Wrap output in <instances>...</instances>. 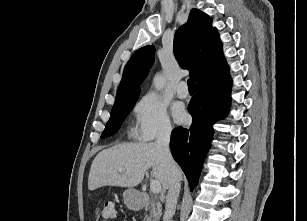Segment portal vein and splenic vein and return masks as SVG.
Segmentation results:
<instances>
[{
    "label": "portal vein and splenic vein",
    "instance_id": "18ae733b",
    "mask_svg": "<svg viewBox=\"0 0 307 221\" xmlns=\"http://www.w3.org/2000/svg\"><path fill=\"white\" fill-rule=\"evenodd\" d=\"M150 189L153 193L158 194L161 191L160 182L155 179H152L150 182Z\"/></svg>",
    "mask_w": 307,
    "mask_h": 221
}]
</instances>
